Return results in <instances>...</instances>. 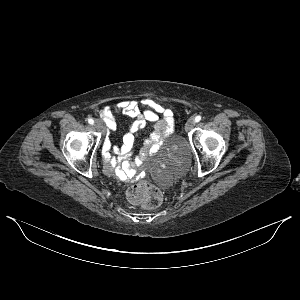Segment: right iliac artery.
Listing matches in <instances>:
<instances>
[{"label":"right iliac artery","instance_id":"82829eb1","mask_svg":"<svg viewBox=\"0 0 300 300\" xmlns=\"http://www.w3.org/2000/svg\"><path fill=\"white\" fill-rule=\"evenodd\" d=\"M88 123L91 124V125H93L94 124V120L92 118H89L88 119Z\"/></svg>","mask_w":300,"mask_h":300}]
</instances>
